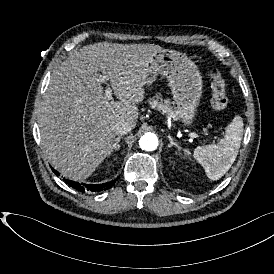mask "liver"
Masks as SVG:
<instances>
[{"instance_id":"1","label":"liver","mask_w":274,"mask_h":274,"mask_svg":"<svg viewBox=\"0 0 274 274\" xmlns=\"http://www.w3.org/2000/svg\"><path fill=\"white\" fill-rule=\"evenodd\" d=\"M162 50L154 44L100 42L70 52L39 105L44 153L55 169L86 180L105 161L115 144V125L137 122L149 63ZM102 84L119 101L107 98Z\"/></svg>"}]
</instances>
